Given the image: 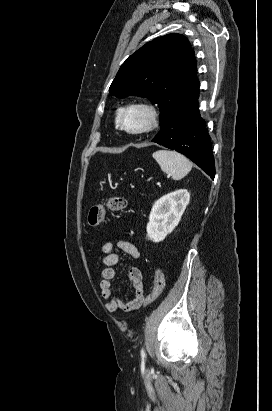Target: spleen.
I'll return each instance as SVG.
<instances>
[{
	"mask_svg": "<svg viewBox=\"0 0 272 411\" xmlns=\"http://www.w3.org/2000/svg\"><path fill=\"white\" fill-rule=\"evenodd\" d=\"M161 170L174 180L185 177L192 169V163L182 154L170 150H158L153 153Z\"/></svg>",
	"mask_w": 272,
	"mask_h": 411,
	"instance_id": "spleen-1",
	"label": "spleen"
}]
</instances>
